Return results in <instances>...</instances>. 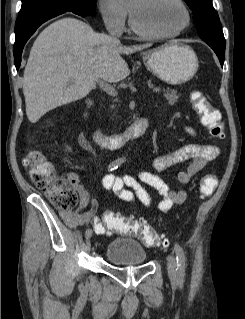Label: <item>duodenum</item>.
I'll list each match as a JSON object with an SVG mask.
<instances>
[{
    "instance_id": "410a0bca",
    "label": "duodenum",
    "mask_w": 245,
    "mask_h": 319,
    "mask_svg": "<svg viewBox=\"0 0 245 319\" xmlns=\"http://www.w3.org/2000/svg\"><path fill=\"white\" fill-rule=\"evenodd\" d=\"M90 102H87L84 108V116H87ZM148 127V119L145 116L140 117L131 126L121 133L107 134L100 130L93 133L96 142L105 149H118L128 140L142 136Z\"/></svg>"
}]
</instances>
